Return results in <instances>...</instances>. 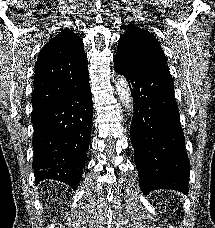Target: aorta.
<instances>
[{
    "mask_svg": "<svg viewBox=\"0 0 215 228\" xmlns=\"http://www.w3.org/2000/svg\"><path fill=\"white\" fill-rule=\"evenodd\" d=\"M116 94L122 104L124 106L126 112L129 114H133L134 104H133V96L131 94V90L129 88V84L124 78V76H117L115 82Z\"/></svg>",
    "mask_w": 215,
    "mask_h": 228,
    "instance_id": "762f6f07",
    "label": "aorta"
}]
</instances>
